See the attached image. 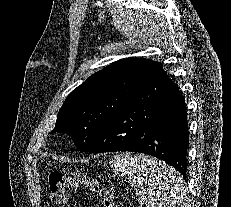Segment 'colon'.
Segmentation results:
<instances>
[{"mask_svg":"<svg viewBox=\"0 0 231 207\" xmlns=\"http://www.w3.org/2000/svg\"><path fill=\"white\" fill-rule=\"evenodd\" d=\"M48 185L53 205L59 206L65 202L68 189L82 187L102 199L101 207H114L110 192L92 176L78 172L52 170L48 175Z\"/></svg>","mask_w":231,"mask_h":207,"instance_id":"colon-1","label":"colon"}]
</instances>
